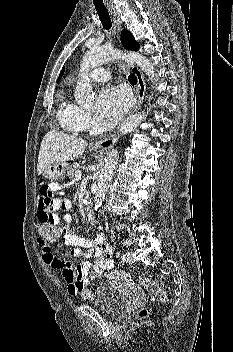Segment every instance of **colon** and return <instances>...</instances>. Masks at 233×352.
I'll return each instance as SVG.
<instances>
[{
	"label": "colon",
	"instance_id": "5ec220e1",
	"mask_svg": "<svg viewBox=\"0 0 233 352\" xmlns=\"http://www.w3.org/2000/svg\"><path fill=\"white\" fill-rule=\"evenodd\" d=\"M37 230H38L40 239L46 244L48 242L56 241L60 236V230L49 223H44V222L40 223ZM140 284L145 290V292L148 294V296L162 303L167 302L168 300L167 294L163 289V287L157 281L151 278H142L140 280ZM80 292H81V297L84 300L92 299V297L95 294L94 290H91V289H83ZM139 315L142 317L146 316L147 310L146 309L140 310Z\"/></svg>",
	"mask_w": 233,
	"mask_h": 352
}]
</instances>
